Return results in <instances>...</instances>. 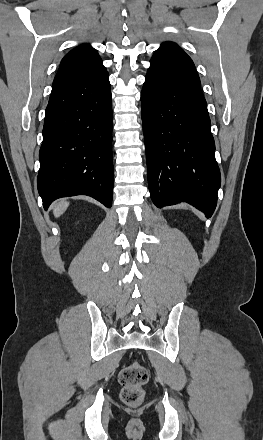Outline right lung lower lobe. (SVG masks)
I'll use <instances>...</instances> for the list:
<instances>
[{
    "instance_id": "98d812e1",
    "label": "right lung lower lobe",
    "mask_w": 263,
    "mask_h": 440,
    "mask_svg": "<svg viewBox=\"0 0 263 440\" xmlns=\"http://www.w3.org/2000/svg\"><path fill=\"white\" fill-rule=\"evenodd\" d=\"M37 178L44 209L57 198L88 195L112 205V98L107 71L52 91Z\"/></svg>"
}]
</instances>
